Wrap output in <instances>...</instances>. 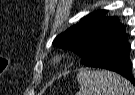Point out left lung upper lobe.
<instances>
[{"label": "left lung upper lobe", "instance_id": "5c2ea615", "mask_svg": "<svg viewBox=\"0 0 135 95\" xmlns=\"http://www.w3.org/2000/svg\"><path fill=\"white\" fill-rule=\"evenodd\" d=\"M105 13L106 10L90 13L58 35L53 44L74 51L81 57V63H85L105 37L124 30L118 17H106Z\"/></svg>", "mask_w": 135, "mask_h": 95}]
</instances>
